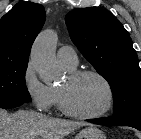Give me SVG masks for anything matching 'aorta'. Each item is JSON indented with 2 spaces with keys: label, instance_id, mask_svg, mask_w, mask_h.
<instances>
[{
  "label": "aorta",
  "instance_id": "1",
  "mask_svg": "<svg viewBox=\"0 0 141 139\" xmlns=\"http://www.w3.org/2000/svg\"><path fill=\"white\" fill-rule=\"evenodd\" d=\"M57 41V33L47 29L38 35L31 49V63L44 83H49L57 77L55 65Z\"/></svg>",
  "mask_w": 141,
  "mask_h": 139
}]
</instances>
